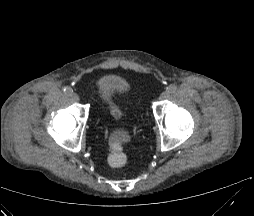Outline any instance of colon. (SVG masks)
<instances>
[{"label":"colon","instance_id":"1","mask_svg":"<svg viewBox=\"0 0 254 216\" xmlns=\"http://www.w3.org/2000/svg\"><path fill=\"white\" fill-rule=\"evenodd\" d=\"M126 154L122 142L114 138L109 147L108 163L112 167H121L126 163Z\"/></svg>","mask_w":254,"mask_h":216}]
</instances>
